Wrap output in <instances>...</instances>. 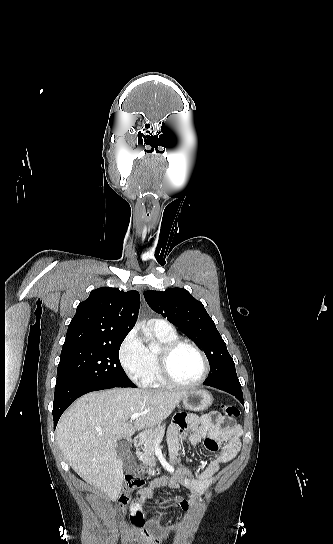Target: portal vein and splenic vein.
Here are the masks:
<instances>
[{"label":"portal vein and splenic vein","mask_w":333,"mask_h":544,"mask_svg":"<svg viewBox=\"0 0 333 544\" xmlns=\"http://www.w3.org/2000/svg\"><path fill=\"white\" fill-rule=\"evenodd\" d=\"M140 415H141V413H134V414L131 416V419H130V420H131V421H134V420L137 419ZM158 442H160V441L158 440Z\"/></svg>","instance_id":"1"}]
</instances>
